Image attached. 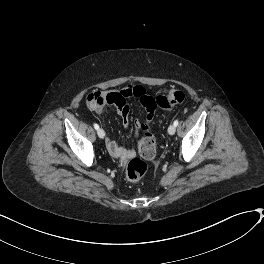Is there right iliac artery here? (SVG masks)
I'll return each mask as SVG.
<instances>
[{"mask_svg":"<svg viewBox=\"0 0 264 264\" xmlns=\"http://www.w3.org/2000/svg\"><path fill=\"white\" fill-rule=\"evenodd\" d=\"M94 128L96 129V130H98L99 129V125L98 124H96V123H94Z\"/></svg>","mask_w":264,"mask_h":264,"instance_id":"82829eb1","label":"right iliac artery"}]
</instances>
